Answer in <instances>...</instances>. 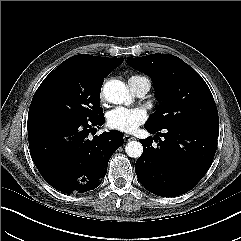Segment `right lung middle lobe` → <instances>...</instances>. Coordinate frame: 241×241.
I'll list each match as a JSON object with an SVG mask.
<instances>
[{
	"instance_id": "obj_1",
	"label": "right lung middle lobe",
	"mask_w": 241,
	"mask_h": 241,
	"mask_svg": "<svg viewBox=\"0 0 241 241\" xmlns=\"http://www.w3.org/2000/svg\"><path fill=\"white\" fill-rule=\"evenodd\" d=\"M103 81L78 74L65 60L37 89L28 113V124L45 120L85 122L103 115L100 92Z\"/></svg>"
}]
</instances>
